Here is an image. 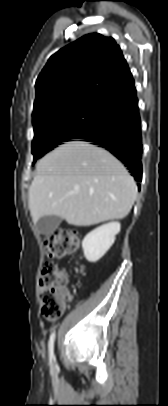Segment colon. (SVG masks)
<instances>
[{"label":"colon","mask_w":168,"mask_h":406,"mask_svg":"<svg viewBox=\"0 0 168 406\" xmlns=\"http://www.w3.org/2000/svg\"><path fill=\"white\" fill-rule=\"evenodd\" d=\"M45 246L51 260L42 267L37 290L42 316L48 321H55L64 311L68 271L53 260L72 254L78 247V238L74 232L61 228L45 237Z\"/></svg>","instance_id":"1"}]
</instances>
